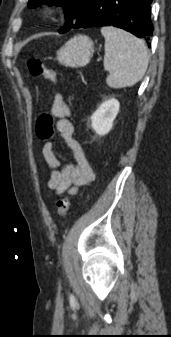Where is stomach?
Listing matches in <instances>:
<instances>
[{"label": "stomach", "instance_id": "1", "mask_svg": "<svg viewBox=\"0 0 171 337\" xmlns=\"http://www.w3.org/2000/svg\"><path fill=\"white\" fill-rule=\"evenodd\" d=\"M93 54V41L87 36L77 35L57 52V60L66 67L78 68L86 66Z\"/></svg>", "mask_w": 171, "mask_h": 337}]
</instances>
